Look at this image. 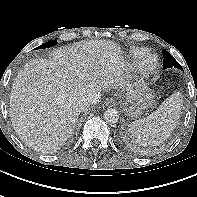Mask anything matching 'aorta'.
<instances>
[{
	"mask_svg": "<svg viewBox=\"0 0 197 197\" xmlns=\"http://www.w3.org/2000/svg\"><path fill=\"white\" fill-rule=\"evenodd\" d=\"M103 115H104L105 121L108 123H116L119 119L118 111L112 108L107 109Z\"/></svg>",
	"mask_w": 197,
	"mask_h": 197,
	"instance_id": "obj_1",
	"label": "aorta"
}]
</instances>
